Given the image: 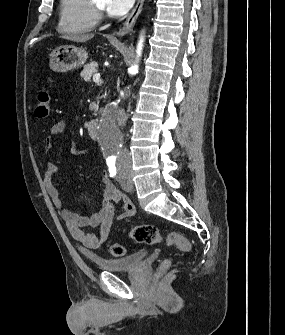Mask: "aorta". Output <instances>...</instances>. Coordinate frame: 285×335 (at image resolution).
<instances>
[{
  "label": "aorta",
  "mask_w": 285,
  "mask_h": 335,
  "mask_svg": "<svg viewBox=\"0 0 285 335\" xmlns=\"http://www.w3.org/2000/svg\"><path fill=\"white\" fill-rule=\"evenodd\" d=\"M142 50V40H140L137 46V54L140 56ZM129 72L137 74L138 66H132L129 68ZM113 96L116 100H108V105L104 106L105 112H116L119 107V102L123 100V97H131V90H114ZM92 134H98L99 137H103L100 140V147H121L120 137L125 136V131L120 125H99L98 127H92Z\"/></svg>",
  "instance_id": "762f6f07"
}]
</instances>
